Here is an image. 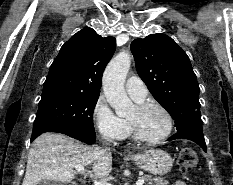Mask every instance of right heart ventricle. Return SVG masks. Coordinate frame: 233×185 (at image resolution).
Masks as SVG:
<instances>
[{"label": "right heart ventricle", "instance_id": "1", "mask_svg": "<svg viewBox=\"0 0 233 185\" xmlns=\"http://www.w3.org/2000/svg\"><path fill=\"white\" fill-rule=\"evenodd\" d=\"M143 101V100H142ZM137 102H141V101H137ZM131 133V129H130V126H129V124H128V133H127V135H129Z\"/></svg>", "mask_w": 233, "mask_h": 185}]
</instances>
